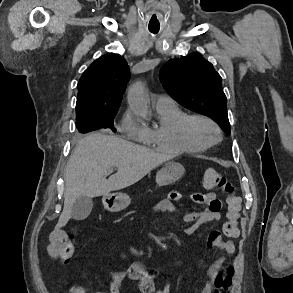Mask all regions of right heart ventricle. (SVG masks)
I'll use <instances>...</instances> for the list:
<instances>
[{
	"mask_svg": "<svg viewBox=\"0 0 293 293\" xmlns=\"http://www.w3.org/2000/svg\"><path fill=\"white\" fill-rule=\"evenodd\" d=\"M158 122L152 128L143 127L146 145L166 152H197L198 149L188 144L181 132V125L186 118L185 113L176 103L156 107Z\"/></svg>",
	"mask_w": 293,
	"mask_h": 293,
	"instance_id": "obj_1",
	"label": "right heart ventricle"
}]
</instances>
